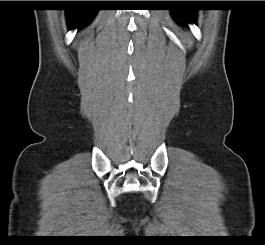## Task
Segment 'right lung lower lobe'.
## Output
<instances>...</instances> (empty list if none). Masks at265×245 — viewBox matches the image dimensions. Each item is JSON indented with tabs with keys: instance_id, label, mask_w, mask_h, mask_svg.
Masks as SVG:
<instances>
[{
	"instance_id": "right-lung-lower-lobe-1",
	"label": "right lung lower lobe",
	"mask_w": 265,
	"mask_h": 245,
	"mask_svg": "<svg viewBox=\"0 0 265 245\" xmlns=\"http://www.w3.org/2000/svg\"><path fill=\"white\" fill-rule=\"evenodd\" d=\"M95 11L96 10L91 8L67 10V19L69 27L71 29L77 27L81 28L91 19Z\"/></svg>"
}]
</instances>
